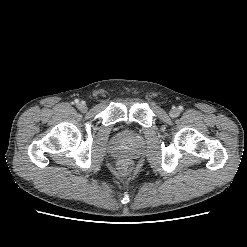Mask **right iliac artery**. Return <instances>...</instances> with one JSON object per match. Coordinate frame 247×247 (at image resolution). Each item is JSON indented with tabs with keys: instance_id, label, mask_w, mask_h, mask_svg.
Returning a JSON list of instances; mask_svg holds the SVG:
<instances>
[{
	"instance_id": "1",
	"label": "right iliac artery",
	"mask_w": 247,
	"mask_h": 247,
	"mask_svg": "<svg viewBox=\"0 0 247 247\" xmlns=\"http://www.w3.org/2000/svg\"><path fill=\"white\" fill-rule=\"evenodd\" d=\"M75 103H79V100H78V99H76V100H75Z\"/></svg>"
}]
</instances>
